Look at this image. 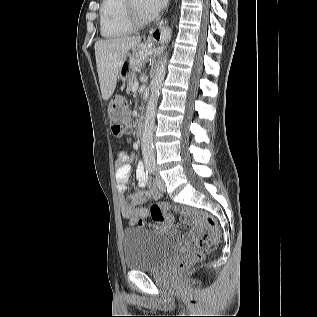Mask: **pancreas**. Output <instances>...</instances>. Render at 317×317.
<instances>
[{
	"instance_id": "pancreas-1",
	"label": "pancreas",
	"mask_w": 317,
	"mask_h": 317,
	"mask_svg": "<svg viewBox=\"0 0 317 317\" xmlns=\"http://www.w3.org/2000/svg\"><path fill=\"white\" fill-rule=\"evenodd\" d=\"M137 81L135 72L132 73V75L128 76L127 81V88L126 91L128 93H133L135 91V82Z\"/></svg>"
}]
</instances>
